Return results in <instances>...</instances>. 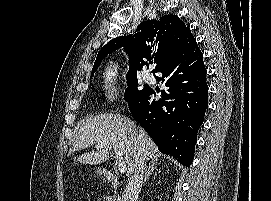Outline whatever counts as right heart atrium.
Instances as JSON below:
<instances>
[{"mask_svg":"<svg viewBox=\"0 0 271 201\" xmlns=\"http://www.w3.org/2000/svg\"><path fill=\"white\" fill-rule=\"evenodd\" d=\"M117 102V96L111 92L105 95L103 105L105 107H111Z\"/></svg>","mask_w":271,"mask_h":201,"instance_id":"d8ad5b80","label":"right heart atrium"}]
</instances>
